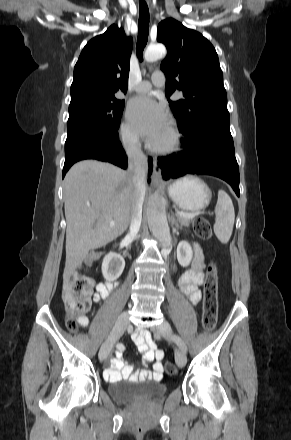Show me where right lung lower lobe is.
Returning a JSON list of instances; mask_svg holds the SVG:
<instances>
[{"label":"right lung lower lobe","instance_id":"right-lung-lower-lobe-1","mask_svg":"<svg viewBox=\"0 0 291 440\" xmlns=\"http://www.w3.org/2000/svg\"><path fill=\"white\" fill-rule=\"evenodd\" d=\"M84 159L110 162L126 169L127 156L119 142L117 129L101 131L87 127H75L67 130L62 177L75 162ZM151 170L152 161L149 159V174H151Z\"/></svg>","mask_w":291,"mask_h":440}]
</instances>
